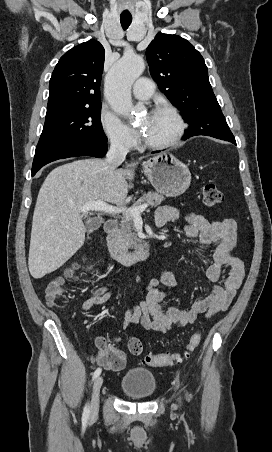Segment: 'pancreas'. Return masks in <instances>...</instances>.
Masks as SVG:
<instances>
[{"label":"pancreas","instance_id":"cf45deb5","mask_svg":"<svg viewBox=\"0 0 272 452\" xmlns=\"http://www.w3.org/2000/svg\"><path fill=\"white\" fill-rule=\"evenodd\" d=\"M165 198L163 195L158 194L157 192H148L147 194L140 197L133 205V207H139L143 204H149L152 207H157L164 201ZM120 230H119V241L123 248L125 249H135L138 250L143 247L142 240L138 238L133 217L130 215H124L120 221Z\"/></svg>","mask_w":272,"mask_h":452}]
</instances>
